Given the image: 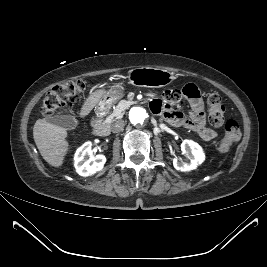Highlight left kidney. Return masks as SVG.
<instances>
[{
    "instance_id": "5707ae66",
    "label": "left kidney",
    "mask_w": 267,
    "mask_h": 267,
    "mask_svg": "<svg viewBox=\"0 0 267 267\" xmlns=\"http://www.w3.org/2000/svg\"><path fill=\"white\" fill-rule=\"evenodd\" d=\"M181 148L184 153L190 152V162H183L180 161V159H178L177 157H174L172 161L173 166L176 170H180L182 172L191 171L196 169L197 166L204 161L205 155L198 143L185 139L181 144Z\"/></svg>"
}]
</instances>
